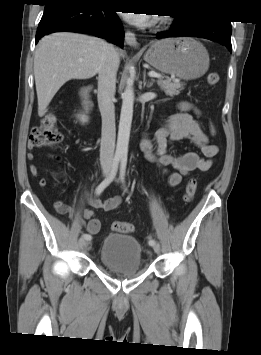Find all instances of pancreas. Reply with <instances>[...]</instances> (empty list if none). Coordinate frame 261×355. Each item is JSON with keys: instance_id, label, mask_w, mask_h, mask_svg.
I'll list each match as a JSON object with an SVG mask.
<instances>
[{"instance_id": "1", "label": "pancreas", "mask_w": 261, "mask_h": 355, "mask_svg": "<svg viewBox=\"0 0 261 355\" xmlns=\"http://www.w3.org/2000/svg\"><path fill=\"white\" fill-rule=\"evenodd\" d=\"M157 83L166 95L171 97L179 95L180 91L183 89V84L179 82H171L169 79H158Z\"/></svg>"}]
</instances>
